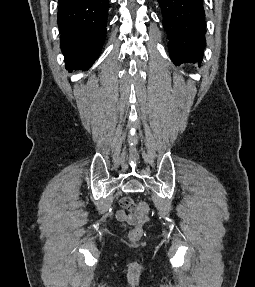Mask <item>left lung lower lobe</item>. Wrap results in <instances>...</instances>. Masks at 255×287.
Segmentation results:
<instances>
[{"label": "left lung lower lobe", "instance_id": "0a47b994", "mask_svg": "<svg viewBox=\"0 0 255 287\" xmlns=\"http://www.w3.org/2000/svg\"><path fill=\"white\" fill-rule=\"evenodd\" d=\"M169 39L171 60L179 65L201 62L205 48L203 0H157Z\"/></svg>", "mask_w": 255, "mask_h": 287}]
</instances>
